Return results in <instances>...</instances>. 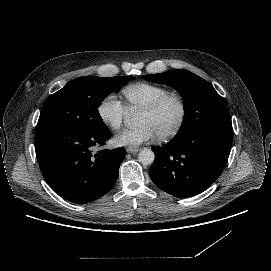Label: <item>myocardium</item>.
I'll return each mask as SVG.
<instances>
[{"label":"myocardium","instance_id":"1","mask_svg":"<svg viewBox=\"0 0 271 271\" xmlns=\"http://www.w3.org/2000/svg\"><path fill=\"white\" fill-rule=\"evenodd\" d=\"M170 101H176L178 103L180 109L179 117L172 128L157 135V138L160 140H166L173 137L182 127L187 115V105L184 98L178 93L169 92L140 111L145 114H154Z\"/></svg>","mask_w":271,"mask_h":271}]
</instances>
